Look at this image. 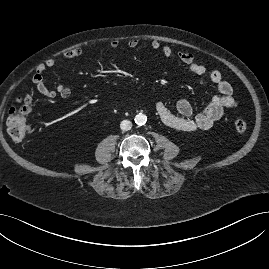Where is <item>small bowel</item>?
<instances>
[{
  "label": "small bowel",
  "mask_w": 269,
  "mask_h": 269,
  "mask_svg": "<svg viewBox=\"0 0 269 269\" xmlns=\"http://www.w3.org/2000/svg\"><path fill=\"white\" fill-rule=\"evenodd\" d=\"M118 40H112L110 47L113 49L119 48ZM127 46L130 49H136L139 46V41L132 38L128 41ZM154 50L161 51L166 58L176 56V58L184 64L188 70L196 76H204L207 74V68L197 63L195 57L190 52H178L174 54L173 49L169 45H163L158 40H153L150 44ZM81 48H73L63 54L65 59H72L82 55ZM56 65L54 59H49L45 63L37 66L32 77V82L37 90L44 97L52 99L57 96L61 98H69L71 90L62 84L55 88H50L45 84L44 73L47 69L53 68ZM211 82L216 86L218 94L215 95L206 105L204 110L196 115H193V110L190 102L187 99H180L176 103V113L163 103L158 102L155 106V111L160 120L167 126L180 131L193 132L204 131L210 129L218 120L222 118L226 109H233L238 106L237 100L233 96L232 85L223 79V75L218 70H213L209 74Z\"/></svg>",
  "instance_id": "c3829d8e"
}]
</instances>
